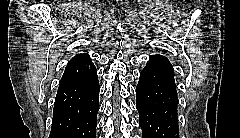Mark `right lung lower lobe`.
<instances>
[{
    "label": "right lung lower lobe",
    "mask_w": 240,
    "mask_h": 138,
    "mask_svg": "<svg viewBox=\"0 0 240 138\" xmlns=\"http://www.w3.org/2000/svg\"><path fill=\"white\" fill-rule=\"evenodd\" d=\"M98 110L96 73L79 83L59 87L49 138H95Z\"/></svg>",
    "instance_id": "obj_1"
}]
</instances>
